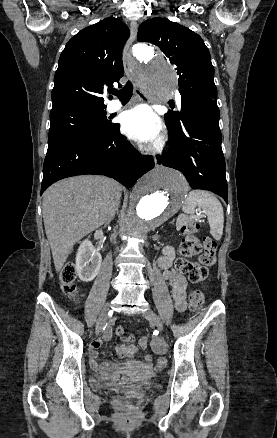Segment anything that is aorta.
Listing matches in <instances>:
<instances>
[{
  "label": "aorta",
  "mask_w": 277,
  "mask_h": 438,
  "mask_svg": "<svg viewBox=\"0 0 277 438\" xmlns=\"http://www.w3.org/2000/svg\"><path fill=\"white\" fill-rule=\"evenodd\" d=\"M133 54L140 62L136 77L141 89L151 98L169 96L177 85L174 67L145 44L136 45ZM187 190L188 184L180 172L161 166L150 171L132 190L121 233L134 237L155 229L179 211Z\"/></svg>",
  "instance_id": "aorta-1"
}]
</instances>
